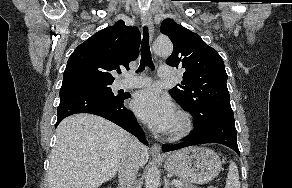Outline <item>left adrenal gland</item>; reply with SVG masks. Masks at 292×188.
Here are the masks:
<instances>
[{
  "mask_svg": "<svg viewBox=\"0 0 292 188\" xmlns=\"http://www.w3.org/2000/svg\"><path fill=\"white\" fill-rule=\"evenodd\" d=\"M173 187V185L169 182V180L164 177V188Z\"/></svg>",
  "mask_w": 292,
  "mask_h": 188,
  "instance_id": "left-adrenal-gland-1",
  "label": "left adrenal gland"
}]
</instances>
